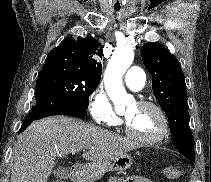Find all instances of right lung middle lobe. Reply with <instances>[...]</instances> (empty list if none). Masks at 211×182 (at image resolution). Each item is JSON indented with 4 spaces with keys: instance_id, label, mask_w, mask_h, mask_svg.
I'll use <instances>...</instances> for the list:
<instances>
[{
    "instance_id": "right-lung-middle-lobe-1",
    "label": "right lung middle lobe",
    "mask_w": 211,
    "mask_h": 182,
    "mask_svg": "<svg viewBox=\"0 0 211 182\" xmlns=\"http://www.w3.org/2000/svg\"><path fill=\"white\" fill-rule=\"evenodd\" d=\"M99 81L87 79L80 74L65 70L62 66L43 67L38 75L35 89H44L68 99L76 107L87 110L89 96Z\"/></svg>"
}]
</instances>
